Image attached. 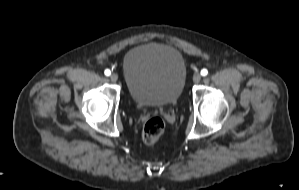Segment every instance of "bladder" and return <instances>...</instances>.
<instances>
[{
    "label": "bladder",
    "instance_id": "bladder-1",
    "mask_svg": "<svg viewBox=\"0 0 299 190\" xmlns=\"http://www.w3.org/2000/svg\"><path fill=\"white\" fill-rule=\"evenodd\" d=\"M122 71L135 103L164 106L174 103L182 93L187 67L177 48L162 43H145L124 56Z\"/></svg>",
    "mask_w": 299,
    "mask_h": 190
}]
</instances>
